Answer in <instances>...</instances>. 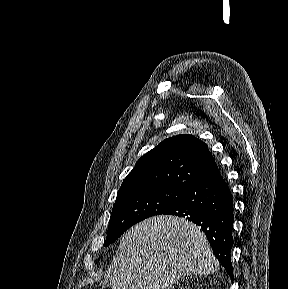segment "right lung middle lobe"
<instances>
[{"mask_svg": "<svg viewBox=\"0 0 288 289\" xmlns=\"http://www.w3.org/2000/svg\"><path fill=\"white\" fill-rule=\"evenodd\" d=\"M184 189L155 187L118 193L112 209L105 246L113 243L128 228L150 216L163 214L179 201Z\"/></svg>", "mask_w": 288, "mask_h": 289, "instance_id": "1", "label": "right lung middle lobe"}]
</instances>
